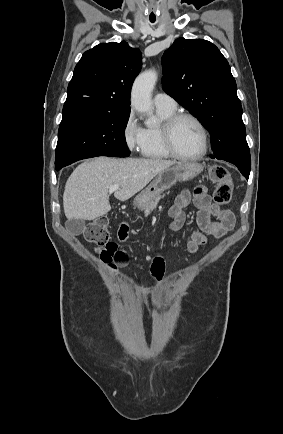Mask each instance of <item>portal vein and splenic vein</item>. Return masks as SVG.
<instances>
[{
	"label": "portal vein and splenic vein",
	"mask_w": 283,
	"mask_h": 434,
	"mask_svg": "<svg viewBox=\"0 0 283 434\" xmlns=\"http://www.w3.org/2000/svg\"><path fill=\"white\" fill-rule=\"evenodd\" d=\"M119 189V185H112V186H110V188H109V192L111 193V192H114V191H116V190H118Z\"/></svg>",
	"instance_id": "portal-vein-and-splenic-vein-1"
}]
</instances>
